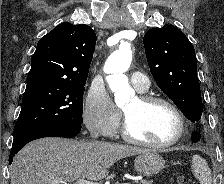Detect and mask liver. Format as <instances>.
Instances as JSON below:
<instances>
[{
    "mask_svg": "<svg viewBox=\"0 0 224 184\" xmlns=\"http://www.w3.org/2000/svg\"><path fill=\"white\" fill-rule=\"evenodd\" d=\"M146 151L104 141L43 138L16 154L10 166L11 184L66 183L80 178L99 181L116 161Z\"/></svg>",
    "mask_w": 224,
    "mask_h": 184,
    "instance_id": "obj_1",
    "label": "liver"
}]
</instances>
